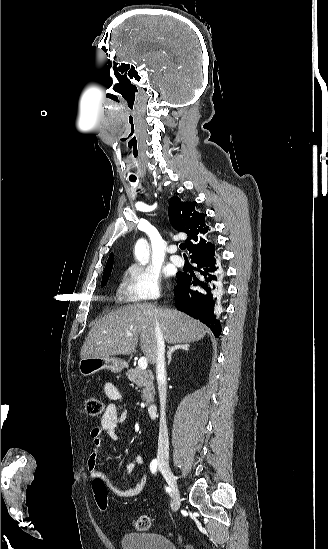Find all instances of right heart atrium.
<instances>
[{"label": "right heart atrium", "mask_w": 328, "mask_h": 549, "mask_svg": "<svg viewBox=\"0 0 328 549\" xmlns=\"http://www.w3.org/2000/svg\"><path fill=\"white\" fill-rule=\"evenodd\" d=\"M121 286L130 303H154L160 296V275L149 265L131 263L122 272Z\"/></svg>", "instance_id": "1"}]
</instances>
